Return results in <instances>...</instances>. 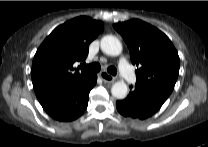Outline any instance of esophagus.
I'll return each instance as SVG.
<instances>
[{
    "label": "esophagus",
    "instance_id": "obj_1",
    "mask_svg": "<svg viewBox=\"0 0 208 147\" xmlns=\"http://www.w3.org/2000/svg\"><path fill=\"white\" fill-rule=\"evenodd\" d=\"M100 77L103 79L106 83H114L116 78L112 75L108 74L107 72H101Z\"/></svg>",
    "mask_w": 208,
    "mask_h": 147
}]
</instances>
